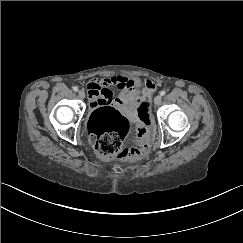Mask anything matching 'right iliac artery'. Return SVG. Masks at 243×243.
Segmentation results:
<instances>
[{
	"instance_id": "obj_1",
	"label": "right iliac artery",
	"mask_w": 243,
	"mask_h": 243,
	"mask_svg": "<svg viewBox=\"0 0 243 243\" xmlns=\"http://www.w3.org/2000/svg\"><path fill=\"white\" fill-rule=\"evenodd\" d=\"M73 90L75 91V92H77L78 91V87H73Z\"/></svg>"
}]
</instances>
